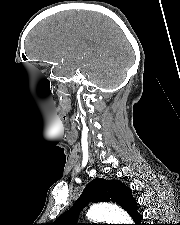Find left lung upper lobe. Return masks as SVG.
<instances>
[{
	"mask_svg": "<svg viewBox=\"0 0 180 225\" xmlns=\"http://www.w3.org/2000/svg\"><path fill=\"white\" fill-rule=\"evenodd\" d=\"M90 201L113 202L131 215L136 210V201L132 197L131 190L118 180L93 179L86 185L81 196L76 200L72 208L63 213L49 225H81L77 224L78 215L83 207Z\"/></svg>",
	"mask_w": 180,
	"mask_h": 225,
	"instance_id": "1",
	"label": "left lung upper lobe"
}]
</instances>
